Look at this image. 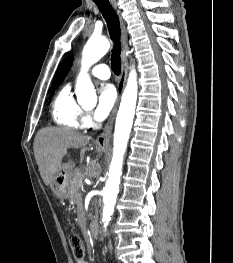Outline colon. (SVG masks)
Returning <instances> with one entry per match:
<instances>
[{
    "label": "colon",
    "instance_id": "5ec220e1",
    "mask_svg": "<svg viewBox=\"0 0 233 263\" xmlns=\"http://www.w3.org/2000/svg\"><path fill=\"white\" fill-rule=\"evenodd\" d=\"M69 243L72 248L73 257L78 262L85 258V245L81 236L77 233L69 234Z\"/></svg>",
    "mask_w": 233,
    "mask_h": 263
}]
</instances>
